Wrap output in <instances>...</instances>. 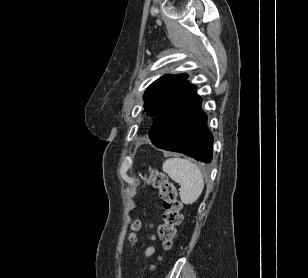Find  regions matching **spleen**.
<instances>
[{"label":"spleen","instance_id":"3e777b00","mask_svg":"<svg viewBox=\"0 0 308 278\" xmlns=\"http://www.w3.org/2000/svg\"><path fill=\"white\" fill-rule=\"evenodd\" d=\"M163 171L180 185V199L186 204H193L201 195L204 179L199 167L188 159L168 158L163 163Z\"/></svg>","mask_w":308,"mask_h":278}]
</instances>
